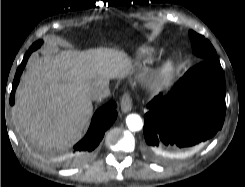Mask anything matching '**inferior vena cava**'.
Masks as SVG:
<instances>
[{
    "label": "inferior vena cava",
    "instance_id": "1",
    "mask_svg": "<svg viewBox=\"0 0 245 187\" xmlns=\"http://www.w3.org/2000/svg\"><path fill=\"white\" fill-rule=\"evenodd\" d=\"M110 95L108 83H100L90 91V98L94 101H101Z\"/></svg>",
    "mask_w": 245,
    "mask_h": 187
}]
</instances>
